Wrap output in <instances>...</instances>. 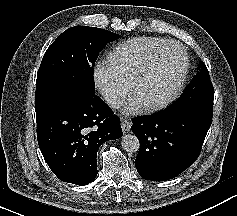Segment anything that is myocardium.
Returning a JSON list of instances; mask_svg holds the SVG:
<instances>
[{
    "instance_id": "obj_1",
    "label": "myocardium",
    "mask_w": 237,
    "mask_h": 216,
    "mask_svg": "<svg viewBox=\"0 0 237 216\" xmlns=\"http://www.w3.org/2000/svg\"><path fill=\"white\" fill-rule=\"evenodd\" d=\"M180 58L182 60V65H181L178 79L167 94H165L163 97L157 100H147V99L140 98L138 96V93H137L138 86H139V81L142 75H148L154 68H156L160 64L173 61V60H179ZM187 64H188L187 53L181 50L168 51L165 53H161L160 55H157L156 57H153L152 59H149L148 62H146L144 66L142 67V72L135 78L133 82V85L130 91V97H129L131 109L137 112L146 108H151V109L158 108V107L163 106L170 100H172L184 86V82L186 79Z\"/></svg>"
}]
</instances>
